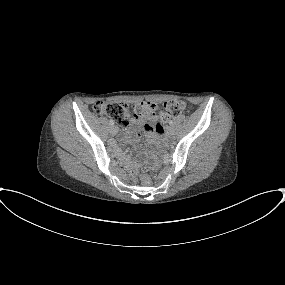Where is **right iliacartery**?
Listing matches in <instances>:
<instances>
[{"label":"right iliac artery","instance_id":"right-iliac-artery-1","mask_svg":"<svg viewBox=\"0 0 285 285\" xmlns=\"http://www.w3.org/2000/svg\"><path fill=\"white\" fill-rule=\"evenodd\" d=\"M110 125H114V122L112 120L109 121Z\"/></svg>","mask_w":285,"mask_h":285}]
</instances>
